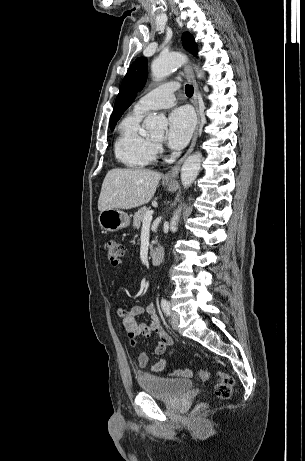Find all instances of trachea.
Here are the masks:
<instances>
[{"mask_svg":"<svg viewBox=\"0 0 305 461\" xmlns=\"http://www.w3.org/2000/svg\"><path fill=\"white\" fill-rule=\"evenodd\" d=\"M194 89L192 85H186L185 93L187 96L191 97L193 95Z\"/></svg>","mask_w":305,"mask_h":461,"instance_id":"trachea-1","label":"trachea"}]
</instances>
